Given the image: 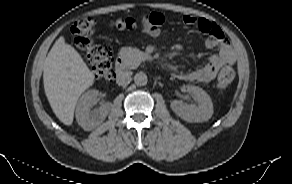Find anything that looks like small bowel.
I'll list each match as a JSON object with an SVG mask.
<instances>
[{"instance_id": "obj_1", "label": "small bowel", "mask_w": 292, "mask_h": 184, "mask_svg": "<svg viewBox=\"0 0 292 184\" xmlns=\"http://www.w3.org/2000/svg\"><path fill=\"white\" fill-rule=\"evenodd\" d=\"M164 21L161 13H154ZM183 22L186 25H196L202 32L207 34L205 47L217 49V53L210 56L208 62L201 68L193 71L177 73L176 77L191 82L209 83L213 81L221 67L233 65L236 61V54L225 37L221 28L206 18H196L192 15H184Z\"/></svg>"}]
</instances>
